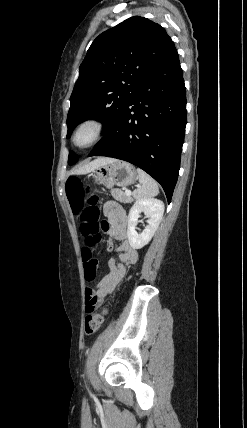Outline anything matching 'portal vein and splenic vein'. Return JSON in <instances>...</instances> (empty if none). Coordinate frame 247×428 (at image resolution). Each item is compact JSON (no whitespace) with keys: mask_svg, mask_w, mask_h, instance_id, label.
I'll use <instances>...</instances> for the list:
<instances>
[{"mask_svg":"<svg viewBox=\"0 0 247 428\" xmlns=\"http://www.w3.org/2000/svg\"><path fill=\"white\" fill-rule=\"evenodd\" d=\"M125 194H126V195H128V196H130L132 193H131V191H130V190H126V191H125Z\"/></svg>","mask_w":247,"mask_h":428,"instance_id":"1","label":"portal vein and splenic vein"}]
</instances>
